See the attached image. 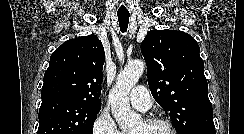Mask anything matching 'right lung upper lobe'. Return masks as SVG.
Here are the masks:
<instances>
[{
  "label": "right lung upper lobe",
  "instance_id": "obj_1",
  "mask_svg": "<svg viewBox=\"0 0 244 134\" xmlns=\"http://www.w3.org/2000/svg\"><path fill=\"white\" fill-rule=\"evenodd\" d=\"M105 52L95 35L67 40L51 55L42 102L52 99L100 105Z\"/></svg>",
  "mask_w": 244,
  "mask_h": 134
}]
</instances>
